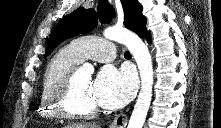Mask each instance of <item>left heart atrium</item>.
<instances>
[{"label": "left heart atrium", "instance_id": "left-heart-atrium-1", "mask_svg": "<svg viewBox=\"0 0 221 128\" xmlns=\"http://www.w3.org/2000/svg\"><path fill=\"white\" fill-rule=\"evenodd\" d=\"M90 91L97 106L115 110L132 99L136 91V80L132 73L104 66L91 81Z\"/></svg>", "mask_w": 221, "mask_h": 128}]
</instances>
